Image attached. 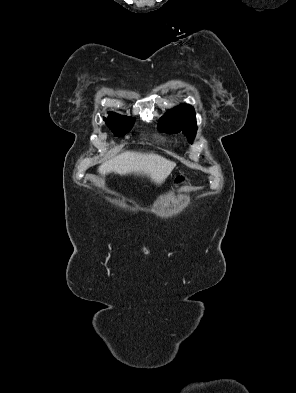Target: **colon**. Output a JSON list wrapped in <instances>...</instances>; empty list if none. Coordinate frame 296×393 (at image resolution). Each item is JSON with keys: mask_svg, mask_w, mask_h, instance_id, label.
<instances>
[{"mask_svg": "<svg viewBox=\"0 0 296 393\" xmlns=\"http://www.w3.org/2000/svg\"><path fill=\"white\" fill-rule=\"evenodd\" d=\"M187 183H188V179L186 176H183V175L178 176L175 180L176 187H181Z\"/></svg>", "mask_w": 296, "mask_h": 393, "instance_id": "colon-1", "label": "colon"}]
</instances>
